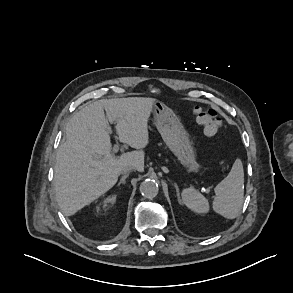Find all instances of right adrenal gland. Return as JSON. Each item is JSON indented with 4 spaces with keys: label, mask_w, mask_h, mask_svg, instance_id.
Returning a JSON list of instances; mask_svg holds the SVG:
<instances>
[{
    "label": "right adrenal gland",
    "mask_w": 293,
    "mask_h": 293,
    "mask_svg": "<svg viewBox=\"0 0 293 293\" xmlns=\"http://www.w3.org/2000/svg\"><path fill=\"white\" fill-rule=\"evenodd\" d=\"M129 176V174L123 175L118 182L117 186H120L121 184H125V179Z\"/></svg>",
    "instance_id": "right-adrenal-gland-1"
}]
</instances>
